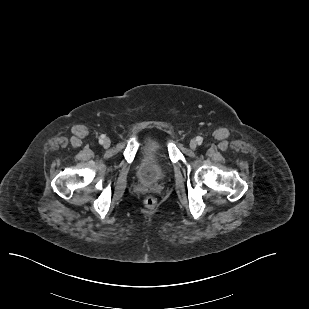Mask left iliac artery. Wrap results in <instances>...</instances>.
Returning a JSON list of instances; mask_svg holds the SVG:
<instances>
[{
  "instance_id": "1",
  "label": "left iliac artery",
  "mask_w": 309,
  "mask_h": 309,
  "mask_svg": "<svg viewBox=\"0 0 309 309\" xmlns=\"http://www.w3.org/2000/svg\"><path fill=\"white\" fill-rule=\"evenodd\" d=\"M202 137H200V136H198L197 138H196V141L199 143V144H201L202 143Z\"/></svg>"
}]
</instances>
